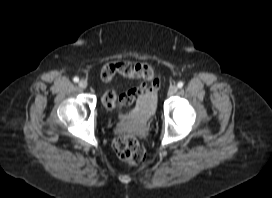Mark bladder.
<instances>
[{
  "instance_id": "bladder-1",
  "label": "bladder",
  "mask_w": 272,
  "mask_h": 198,
  "mask_svg": "<svg viewBox=\"0 0 272 198\" xmlns=\"http://www.w3.org/2000/svg\"><path fill=\"white\" fill-rule=\"evenodd\" d=\"M156 111V99L147 98L137 103L135 108L131 111L130 117L133 121L146 123L148 122Z\"/></svg>"
}]
</instances>
